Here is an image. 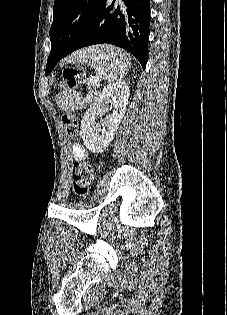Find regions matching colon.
I'll return each instance as SVG.
<instances>
[{
	"label": "colon",
	"instance_id": "5ec220e1",
	"mask_svg": "<svg viewBox=\"0 0 227 315\" xmlns=\"http://www.w3.org/2000/svg\"><path fill=\"white\" fill-rule=\"evenodd\" d=\"M64 82L60 84L59 88L69 91L77 84L84 82L85 71L78 67H67L63 72ZM62 122L66 133L75 137L78 135V121L77 118L68 112L63 113ZM93 179V170L89 163L77 161L73 166L72 189L78 196H85L88 194Z\"/></svg>",
	"mask_w": 227,
	"mask_h": 315
}]
</instances>
